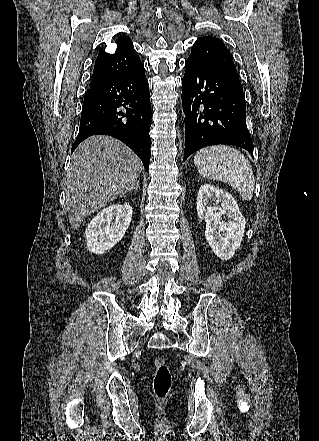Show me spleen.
Masks as SVG:
<instances>
[{
	"label": "spleen",
	"instance_id": "spleen-1",
	"mask_svg": "<svg viewBox=\"0 0 319 441\" xmlns=\"http://www.w3.org/2000/svg\"><path fill=\"white\" fill-rule=\"evenodd\" d=\"M194 163L202 177L227 183L244 200L252 199L255 189L253 170L239 150L227 145L203 148L196 153Z\"/></svg>",
	"mask_w": 319,
	"mask_h": 441
}]
</instances>
